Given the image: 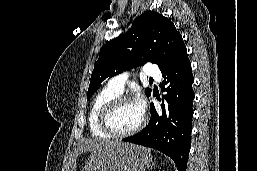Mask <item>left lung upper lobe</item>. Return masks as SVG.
Returning <instances> with one entry per match:
<instances>
[{"instance_id": "5c2ea615", "label": "left lung upper lobe", "mask_w": 257, "mask_h": 171, "mask_svg": "<svg viewBox=\"0 0 257 171\" xmlns=\"http://www.w3.org/2000/svg\"><path fill=\"white\" fill-rule=\"evenodd\" d=\"M184 46L182 36L170 20L157 12H145L127 33L102 47L91 75L87 100L108 78L147 62L161 68ZM145 93L150 96L151 89L147 88Z\"/></svg>"}]
</instances>
